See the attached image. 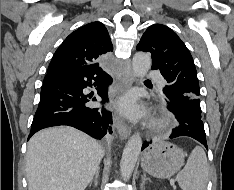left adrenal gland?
Returning a JSON list of instances; mask_svg holds the SVG:
<instances>
[{
	"label": "left adrenal gland",
	"instance_id": "obj_1",
	"mask_svg": "<svg viewBox=\"0 0 234 190\" xmlns=\"http://www.w3.org/2000/svg\"><path fill=\"white\" fill-rule=\"evenodd\" d=\"M146 181H150V179L148 177H146V174L144 173L142 176L141 189H143Z\"/></svg>",
	"mask_w": 234,
	"mask_h": 190
}]
</instances>
